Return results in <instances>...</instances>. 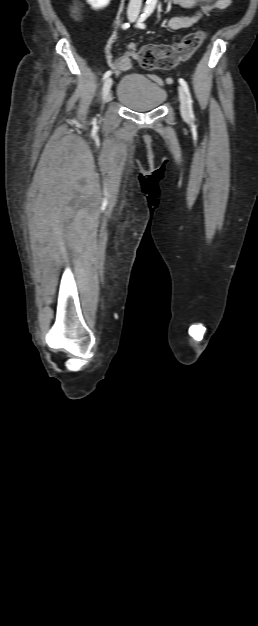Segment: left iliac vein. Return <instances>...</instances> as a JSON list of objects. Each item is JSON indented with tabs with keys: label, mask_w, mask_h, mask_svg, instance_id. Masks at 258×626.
Here are the masks:
<instances>
[{
	"label": "left iliac vein",
	"mask_w": 258,
	"mask_h": 626,
	"mask_svg": "<svg viewBox=\"0 0 258 626\" xmlns=\"http://www.w3.org/2000/svg\"><path fill=\"white\" fill-rule=\"evenodd\" d=\"M179 100H180V111L181 114L185 117L188 116V106H187V98L186 94L181 86L178 87Z\"/></svg>",
	"instance_id": "4c4485c4"
}]
</instances>
